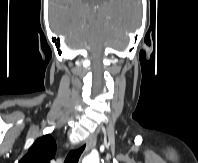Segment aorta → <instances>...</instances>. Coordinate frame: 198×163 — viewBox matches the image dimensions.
Returning a JSON list of instances; mask_svg holds the SVG:
<instances>
[{
  "mask_svg": "<svg viewBox=\"0 0 198 163\" xmlns=\"http://www.w3.org/2000/svg\"><path fill=\"white\" fill-rule=\"evenodd\" d=\"M82 163H100L98 156L96 155H88L86 156Z\"/></svg>",
  "mask_w": 198,
  "mask_h": 163,
  "instance_id": "aorta-1",
  "label": "aorta"
}]
</instances>
